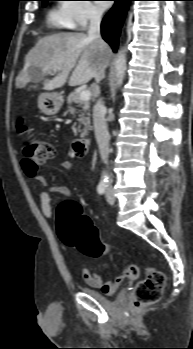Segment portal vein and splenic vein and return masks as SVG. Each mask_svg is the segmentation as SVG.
<instances>
[{"label":"portal vein and splenic vein","mask_w":193,"mask_h":349,"mask_svg":"<svg viewBox=\"0 0 193 349\" xmlns=\"http://www.w3.org/2000/svg\"><path fill=\"white\" fill-rule=\"evenodd\" d=\"M90 97H91V92H90V90H82L81 92H80V98L82 99V100H89L90 99Z\"/></svg>","instance_id":"18ae733b"}]
</instances>
